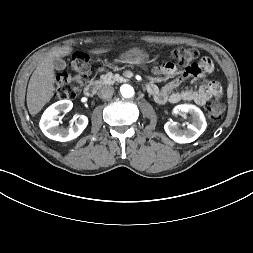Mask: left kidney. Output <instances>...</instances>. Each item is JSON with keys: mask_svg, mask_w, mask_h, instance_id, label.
I'll return each mask as SVG.
<instances>
[{"mask_svg": "<svg viewBox=\"0 0 253 253\" xmlns=\"http://www.w3.org/2000/svg\"><path fill=\"white\" fill-rule=\"evenodd\" d=\"M175 114L189 113L191 123L187 130H180L175 122H167L164 125L167 135L177 143H190L195 141L206 129L207 123L203 112L192 104H180L173 109Z\"/></svg>", "mask_w": 253, "mask_h": 253, "instance_id": "left-kidney-1", "label": "left kidney"}]
</instances>
